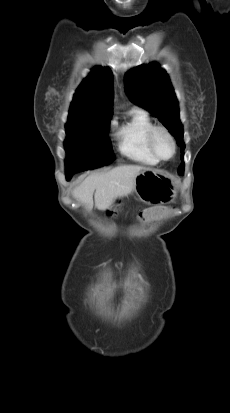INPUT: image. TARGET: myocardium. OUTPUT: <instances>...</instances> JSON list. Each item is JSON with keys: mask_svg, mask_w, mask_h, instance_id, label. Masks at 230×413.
Here are the masks:
<instances>
[{"mask_svg": "<svg viewBox=\"0 0 230 413\" xmlns=\"http://www.w3.org/2000/svg\"><path fill=\"white\" fill-rule=\"evenodd\" d=\"M162 132L164 133L168 139L170 140L172 147H173V152L172 155L168 158H164L160 156V154L157 152L156 147H155V137L157 133ZM147 141H148V146L150 148V151L152 152L153 156L158 160V161H170L171 159L174 158L176 155L177 151V144L175 141L174 136L172 133L169 131V129L163 125H153L147 135Z\"/></svg>", "mask_w": 230, "mask_h": 413, "instance_id": "myocardium-1", "label": "myocardium"}]
</instances>
